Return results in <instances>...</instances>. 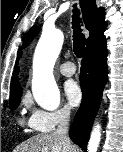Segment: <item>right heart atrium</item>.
I'll return each mask as SVG.
<instances>
[{
    "label": "right heart atrium",
    "instance_id": "d8ad5b80",
    "mask_svg": "<svg viewBox=\"0 0 123 152\" xmlns=\"http://www.w3.org/2000/svg\"><path fill=\"white\" fill-rule=\"evenodd\" d=\"M70 117L71 110L66 106L52 111L33 108L28 124L33 130L45 133L54 130L59 124L68 121Z\"/></svg>",
    "mask_w": 123,
    "mask_h": 152
}]
</instances>
